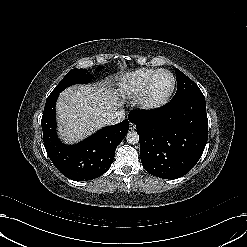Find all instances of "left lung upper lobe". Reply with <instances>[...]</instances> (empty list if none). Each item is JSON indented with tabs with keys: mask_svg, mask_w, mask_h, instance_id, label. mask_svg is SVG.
<instances>
[{
	"mask_svg": "<svg viewBox=\"0 0 247 247\" xmlns=\"http://www.w3.org/2000/svg\"><path fill=\"white\" fill-rule=\"evenodd\" d=\"M177 80V92L172 100H177L193 93L201 92L199 87L184 73L175 69Z\"/></svg>",
	"mask_w": 247,
	"mask_h": 247,
	"instance_id": "left-lung-upper-lobe-1",
	"label": "left lung upper lobe"
}]
</instances>
